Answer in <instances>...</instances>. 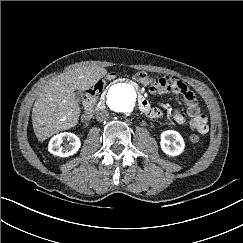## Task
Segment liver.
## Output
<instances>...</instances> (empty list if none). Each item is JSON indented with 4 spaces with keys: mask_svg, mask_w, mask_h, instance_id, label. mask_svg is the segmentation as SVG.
I'll return each instance as SVG.
<instances>
[{
    "mask_svg": "<svg viewBox=\"0 0 243 243\" xmlns=\"http://www.w3.org/2000/svg\"><path fill=\"white\" fill-rule=\"evenodd\" d=\"M107 74L105 68L85 66L50 79L41 89L32 109V125L40 142L77 125L80 106L75 91H85Z\"/></svg>",
    "mask_w": 243,
    "mask_h": 243,
    "instance_id": "1",
    "label": "liver"
}]
</instances>
